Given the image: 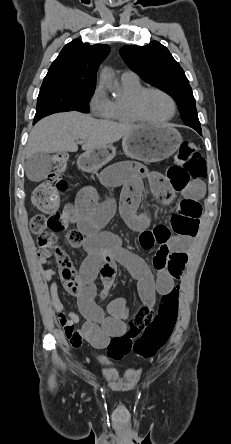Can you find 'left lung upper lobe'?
I'll list each match as a JSON object with an SVG mask.
<instances>
[{
	"mask_svg": "<svg viewBox=\"0 0 231 444\" xmlns=\"http://www.w3.org/2000/svg\"><path fill=\"white\" fill-rule=\"evenodd\" d=\"M120 53L131 70L144 81L172 96L185 124L202 133L189 81L165 46L157 41L142 47L126 45Z\"/></svg>",
	"mask_w": 231,
	"mask_h": 444,
	"instance_id": "5c2ea615",
	"label": "left lung upper lobe"
}]
</instances>
